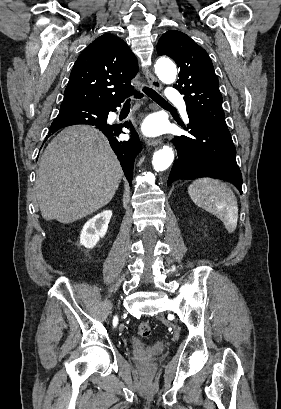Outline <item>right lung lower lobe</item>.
<instances>
[{"label": "right lung lower lobe", "mask_w": 281, "mask_h": 409, "mask_svg": "<svg viewBox=\"0 0 281 409\" xmlns=\"http://www.w3.org/2000/svg\"><path fill=\"white\" fill-rule=\"evenodd\" d=\"M136 97H142V94L136 93ZM121 103L114 105H103L91 108L83 107H68L61 108L58 116L62 117H81L86 118L90 121L89 125L96 126L97 129L102 131V133L108 138L111 148L114 150L123 168L124 174L131 184L133 177V164L136 155L141 151V144L138 140L137 134L130 122H125L124 124H107V115L110 111L115 112L116 107L121 106ZM129 128L132 131L133 137L131 140L125 141L120 140L118 136L122 131V128ZM58 130V129H56ZM56 130H50L48 133L49 137L51 133Z\"/></svg>", "instance_id": "obj_1"}]
</instances>
